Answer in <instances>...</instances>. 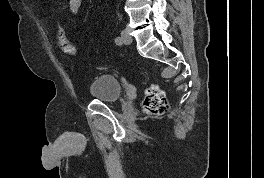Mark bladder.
<instances>
[{"instance_id": "31cf9c89", "label": "bladder", "mask_w": 264, "mask_h": 178, "mask_svg": "<svg viewBox=\"0 0 264 178\" xmlns=\"http://www.w3.org/2000/svg\"><path fill=\"white\" fill-rule=\"evenodd\" d=\"M90 96L107 104H116L122 98V85L112 75L101 74L89 85Z\"/></svg>"}]
</instances>
